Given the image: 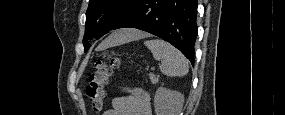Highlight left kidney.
<instances>
[{"mask_svg":"<svg viewBox=\"0 0 285 115\" xmlns=\"http://www.w3.org/2000/svg\"><path fill=\"white\" fill-rule=\"evenodd\" d=\"M184 102L180 92L159 87L154 96L156 115H179Z\"/></svg>","mask_w":285,"mask_h":115,"instance_id":"1","label":"left kidney"}]
</instances>
